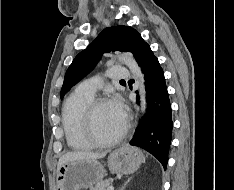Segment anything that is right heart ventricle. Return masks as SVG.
<instances>
[{"instance_id":"1","label":"right heart ventricle","mask_w":234,"mask_h":190,"mask_svg":"<svg viewBox=\"0 0 234 190\" xmlns=\"http://www.w3.org/2000/svg\"><path fill=\"white\" fill-rule=\"evenodd\" d=\"M93 99L78 91L72 92L65 100L62 109V125L68 145L76 150H86L93 147L87 138L83 113L88 103Z\"/></svg>"}]
</instances>
